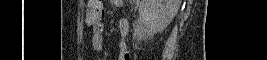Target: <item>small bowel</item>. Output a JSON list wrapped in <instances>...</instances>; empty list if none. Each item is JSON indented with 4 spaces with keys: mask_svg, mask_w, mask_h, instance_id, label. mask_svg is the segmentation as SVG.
Segmentation results:
<instances>
[{
    "mask_svg": "<svg viewBox=\"0 0 267 60\" xmlns=\"http://www.w3.org/2000/svg\"><path fill=\"white\" fill-rule=\"evenodd\" d=\"M113 4L121 5L122 0H113ZM91 46L95 52H100L103 48V31L104 23L101 18V21L97 25H91ZM130 29V23L126 18H122L118 23L119 30V49L115 57L116 60H128L130 59L129 51L125 44V36L127 35Z\"/></svg>",
    "mask_w": 267,
    "mask_h": 60,
    "instance_id": "small-bowel-1",
    "label": "small bowel"
}]
</instances>
